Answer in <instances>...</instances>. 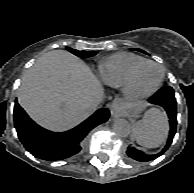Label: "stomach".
<instances>
[{
  "mask_svg": "<svg viewBox=\"0 0 194 193\" xmlns=\"http://www.w3.org/2000/svg\"><path fill=\"white\" fill-rule=\"evenodd\" d=\"M144 105L141 103H133V104H124L123 111L126 115L134 117L136 116L142 109Z\"/></svg>",
  "mask_w": 194,
  "mask_h": 193,
  "instance_id": "1",
  "label": "stomach"
}]
</instances>
